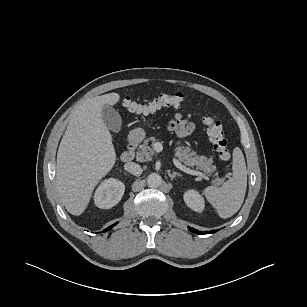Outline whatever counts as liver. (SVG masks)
Here are the masks:
<instances>
[{
    "mask_svg": "<svg viewBox=\"0 0 307 307\" xmlns=\"http://www.w3.org/2000/svg\"><path fill=\"white\" fill-rule=\"evenodd\" d=\"M118 93L84 101L72 115L57 153L56 186L66 210L81 215L98 182L113 168L116 153L102 119L104 105H115Z\"/></svg>",
    "mask_w": 307,
    "mask_h": 307,
    "instance_id": "1",
    "label": "liver"
}]
</instances>
